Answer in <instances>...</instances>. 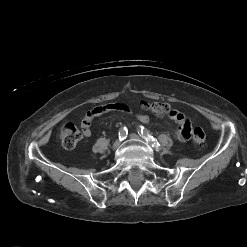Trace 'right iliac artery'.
Segmentation results:
<instances>
[{
	"label": "right iliac artery",
	"instance_id": "82829eb1",
	"mask_svg": "<svg viewBox=\"0 0 247 247\" xmlns=\"http://www.w3.org/2000/svg\"><path fill=\"white\" fill-rule=\"evenodd\" d=\"M127 134H128V130H127V128L125 126L124 127H121L119 129L118 135H119V139L121 141L124 140L127 137Z\"/></svg>",
	"mask_w": 247,
	"mask_h": 247
}]
</instances>
